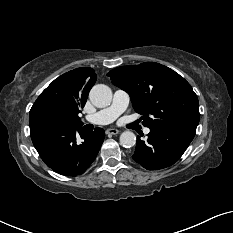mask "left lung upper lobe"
I'll use <instances>...</instances> for the list:
<instances>
[{
	"label": "left lung upper lobe",
	"mask_w": 233,
	"mask_h": 233,
	"mask_svg": "<svg viewBox=\"0 0 233 233\" xmlns=\"http://www.w3.org/2000/svg\"><path fill=\"white\" fill-rule=\"evenodd\" d=\"M107 75L130 95L134 110L143 115L144 126L196 131L200 119L197 95L174 70L145 62L117 67Z\"/></svg>",
	"instance_id": "left-lung-upper-lobe-1"
}]
</instances>
